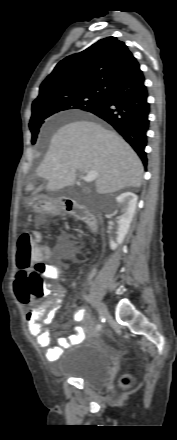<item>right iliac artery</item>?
Here are the masks:
<instances>
[{
  "label": "right iliac artery",
  "instance_id": "obj_1",
  "mask_svg": "<svg viewBox=\"0 0 177 440\" xmlns=\"http://www.w3.org/2000/svg\"><path fill=\"white\" fill-rule=\"evenodd\" d=\"M86 299L88 300V298L86 297ZM101 329V325L100 324H98L97 326H96V330H100Z\"/></svg>",
  "mask_w": 177,
  "mask_h": 440
}]
</instances>
